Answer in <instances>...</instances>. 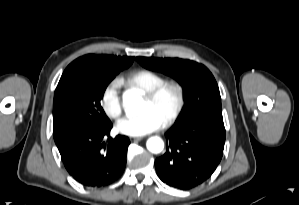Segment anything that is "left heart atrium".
Masks as SVG:
<instances>
[{
    "label": "left heart atrium",
    "mask_w": 299,
    "mask_h": 205,
    "mask_svg": "<svg viewBox=\"0 0 299 205\" xmlns=\"http://www.w3.org/2000/svg\"><path fill=\"white\" fill-rule=\"evenodd\" d=\"M161 125V119L154 112L146 110L136 116L120 120L116 129L127 136L141 137L159 129Z\"/></svg>",
    "instance_id": "obj_1"
}]
</instances>
